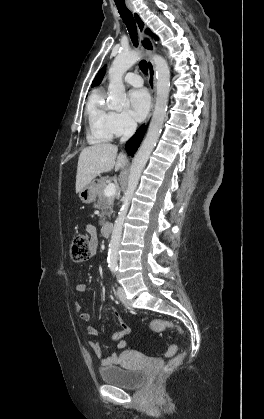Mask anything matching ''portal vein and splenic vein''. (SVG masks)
I'll list each match as a JSON object with an SVG mask.
<instances>
[{"label": "portal vein and splenic vein", "mask_w": 264, "mask_h": 419, "mask_svg": "<svg viewBox=\"0 0 264 419\" xmlns=\"http://www.w3.org/2000/svg\"><path fill=\"white\" fill-rule=\"evenodd\" d=\"M115 193H116L115 184L114 183H109L104 190L105 196L110 197V196L115 195Z\"/></svg>", "instance_id": "obj_1"}]
</instances>
